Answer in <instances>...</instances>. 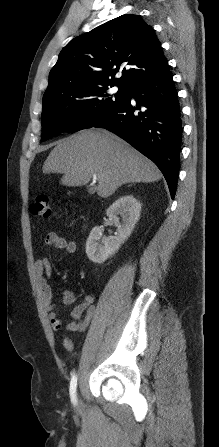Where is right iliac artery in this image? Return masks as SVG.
Wrapping results in <instances>:
<instances>
[{"label": "right iliac artery", "mask_w": 219, "mask_h": 447, "mask_svg": "<svg viewBox=\"0 0 219 447\" xmlns=\"http://www.w3.org/2000/svg\"><path fill=\"white\" fill-rule=\"evenodd\" d=\"M76 387H77V375L73 374L70 382V397L73 403H76Z\"/></svg>", "instance_id": "obj_1"}]
</instances>
